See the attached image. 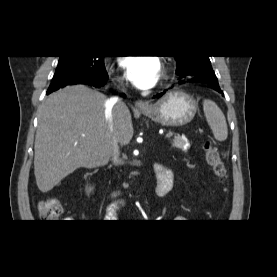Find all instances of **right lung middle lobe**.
<instances>
[{"label": "right lung middle lobe", "mask_w": 277, "mask_h": 277, "mask_svg": "<svg viewBox=\"0 0 277 277\" xmlns=\"http://www.w3.org/2000/svg\"><path fill=\"white\" fill-rule=\"evenodd\" d=\"M107 77L104 56H60L48 91H55L83 80L103 84Z\"/></svg>", "instance_id": "right-lung-middle-lobe-1"}]
</instances>
